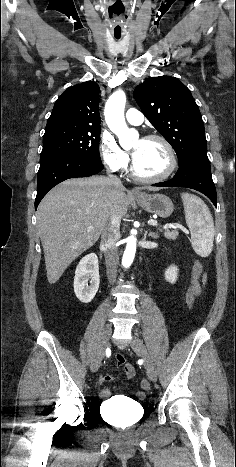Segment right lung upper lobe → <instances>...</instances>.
Returning a JSON list of instances; mask_svg holds the SVG:
<instances>
[{
    "instance_id": "1",
    "label": "right lung upper lobe",
    "mask_w": 236,
    "mask_h": 467,
    "mask_svg": "<svg viewBox=\"0 0 236 467\" xmlns=\"http://www.w3.org/2000/svg\"><path fill=\"white\" fill-rule=\"evenodd\" d=\"M99 91L93 81L67 88L56 100L46 128L58 125L100 128Z\"/></svg>"
}]
</instances>
